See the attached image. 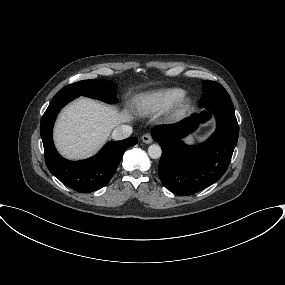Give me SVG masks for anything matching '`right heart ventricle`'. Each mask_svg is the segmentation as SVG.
Segmentation results:
<instances>
[{"mask_svg": "<svg viewBox=\"0 0 285 285\" xmlns=\"http://www.w3.org/2000/svg\"><path fill=\"white\" fill-rule=\"evenodd\" d=\"M181 88H164L143 95L138 102L139 108L147 113L163 111L171 107L178 99L184 96Z\"/></svg>", "mask_w": 285, "mask_h": 285, "instance_id": "obj_1", "label": "right heart ventricle"}]
</instances>
